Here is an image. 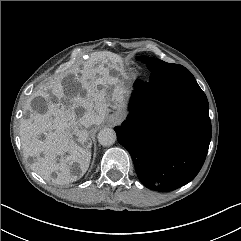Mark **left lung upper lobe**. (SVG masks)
<instances>
[{"mask_svg":"<svg viewBox=\"0 0 241 241\" xmlns=\"http://www.w3.org/2000/svg\"><path fill=\"white\" fill-rule=\"evenodd\" d=\"M137 60L146 63L148 69L165 76L170 93L177 94L189 87L198 85L194 76L184 66L169 64L157 58L139 56Z\"/></svg>","mask_w":241,"mask_h":241,"instance_id":"left-lung-upper-lobe-1","label":"left lung upper lobe"}]
</instances>
